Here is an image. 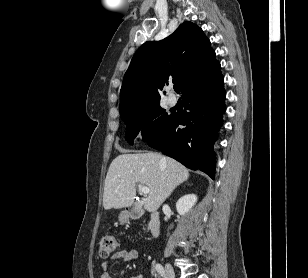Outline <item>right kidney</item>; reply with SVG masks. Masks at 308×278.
I'll return each instance as SVG.
<instances>
[{
	"instance_id": "right-kidney-1",
	"label": "right kidney",
	"mask_w": 308,
	"mask_h": 278,
	"mask_svg": "<svg viewBox=\"0 0 308 278\" xmlns=\"http://www.w3.org/2000/svg\"><path fill=\"white\" fill-rule=\"evenodd\" d=\"M196 202L197 196L194 194H188L181 197L176 203L177 212L180 215H185L191 210V208L195 205Z\"/></svg>"
}]
</instances>
